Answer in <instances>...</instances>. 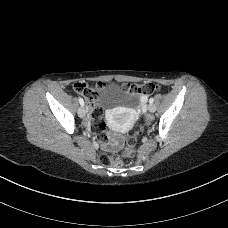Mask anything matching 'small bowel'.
Wrapping results in <instances>:
<instances>
[{
	"instance_id": "obj_1",
	"label": "small bowel",
	"mask_w": 228,
	"mask_h": 228,
	"mask_svg": "<svg viewBox=\"0 0 228 228\" xmlns=\"http://www.w3.org/2000/svg\"><path fill=\"white\" fill-rule=\"evenodd\" d=\"M90 117L88 116L86 125L90 127ZM100 140L102 141L103 147L109 149L114 146H121L123 144L124 138L122 135L115 132H108L100 136Z\"/></svg>"
}]
</instances>
